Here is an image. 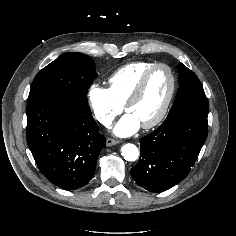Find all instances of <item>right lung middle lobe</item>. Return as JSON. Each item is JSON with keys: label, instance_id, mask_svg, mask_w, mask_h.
Returning a JSON list of instances; mask_svg holds the SVG:
<instances>
[{"label": "right lung middle lobe", "instance_id": "1", "mask_svg": "<svg viewBox=\"0 0 236 236\" xmlns=\"http://www.w3.org/2000/svg\"><path fill=\"white\" fill-rule=\"evenodd\" d=\"M97 76L91 58L76 52L65 53L38 72L28 103L51 99L88 105L87 90Z\"/></svg>", "mask_w": 236, "mask_h": 236}]
</instances>
